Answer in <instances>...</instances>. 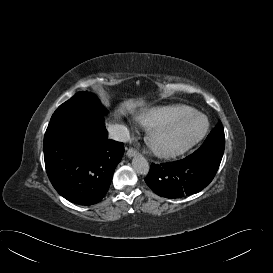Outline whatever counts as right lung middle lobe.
Here are the masks:
<instances>
[{
    "mask_svg": "<svg viewBox=\"0 0 273 273\" xmlns=\"http://www.w3.org/2000/svg\"><path fill=\"white\" fill-rule=\"evenodd\" d=\"M68 112L88 117L101 119L106 113L105 108L100 104L98 98L89 92H78L71 99L64 102L54 113Z\"/></svg>",
    "mask_w": 273,
    "mask_h": 273,
    "instance_id": "right-lung-middle-lobe-1",
    "label": "right lung middle lobe"
}]
</instances>
